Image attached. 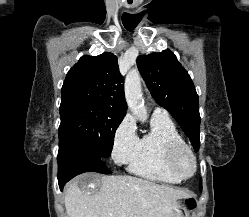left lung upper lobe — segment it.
Masks as SVG:
<instances>
[{"label": "left lung upper lobe", "mask_w": 249, "mask_h": 217, "mask_svg": "<svg viewBox=\"0 0 249 217\" xmlns=\"http://www.w3.org/2000/svg\"><path fill=\"white\" fill-rule=\"evenodd\" d=\"M137 66L155 101L172 114L197 152L200 146L198 95L187 71L169 50L140 55ZM199 185L202 189L201 181Z\"/></svg>", "instance_id": "1"}]
</instances>
